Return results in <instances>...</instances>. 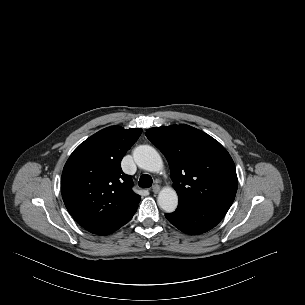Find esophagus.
I'll use <instances>...</instances> for the list:
<instances>
[{"label": "esophagus", "mask_w": 305, "mask_h": 305, "mask_svg": "<svg viewBox=\"0 0 305 305\" xmlns=\"http://www.w3.org/2000/svg\"><path fill=\"white\" fill-rule=\"evenodd\" d=\"M159 191H160V186L159 185L156 184L152 187V192L153 193L157 194Z\"/></svg>", "instance_id": "1"}]
</instances>
